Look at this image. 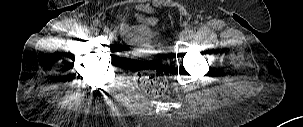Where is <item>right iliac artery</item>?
<instances>
[{
	"label": "right iliac artery",
	"mask_w": 303,
	"mask_h": 127,
	"mask_svg": "<svg viewBox=\"0 0 303 127\" xmlns=\"http://www.w3.org/2000/svg\"><path fill=\"white\" fill-rule=\"evenodd\" d=\"M93 25H94V26H100V22H99L98 20H94V21H93Z\"/></svg>",
	"instance_id": "right-iliac-artery-1"
}]
</instances>
